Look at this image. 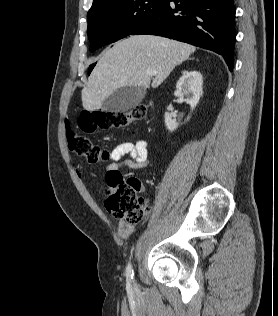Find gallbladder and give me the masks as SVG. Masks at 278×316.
<instances>
[{"label": "gallbladder", "mask_w": 278, "mask_h": 316, "mask_svg": "<svg viewBox=\"0 0 278 316\" xmlns=\"http://www.w3.org/2000/svg\"><path fill=\"white\" fill-rule=\"evenodd\" d=\"M146 94V89L140 86H125L114 91L107 97L101 109L104 112H127L138 106Z\"/></svg>", "instance_id": "obj_1"}]
</instances>
